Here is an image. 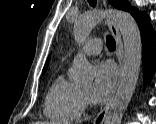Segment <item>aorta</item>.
<instances>
[{
    "instance_id": "1",
    "label": "aorta",
    "mask_w": 156,
    "mask_h": 124,
    "mask_svg": "<svg viewBox=\"0 0 156 124\" xmlns=\"http://www.w3.org/2000/svg\"><path fill=\"white\" fill-rule=\"evenodd\" d=\"M105 17L111 18L118 26L123 38V65L119 86L115 98L107 113L104 124H121V120L135 91L142 63V42L139 27L135 19L121 10L91 11L74 24V38L83 43L92 29ZM94 72L84 56L74 60L71 79L78 83L93 80Z\"/></svg>"
}]
</instances>
